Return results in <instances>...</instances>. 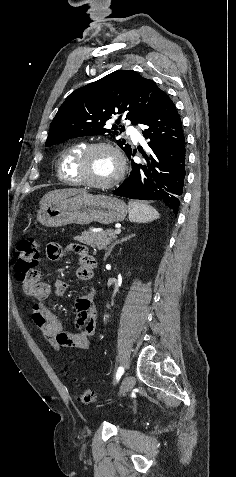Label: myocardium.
<instances>
[{"label": "myocardium", "instance_id": "myocardium-1", "mask_svg": "<svg viewBox=\"0 0 236 477\" xmlns=\"http://www.w3.org/2000/svg\"><path fill=\"white\" fill-rule=\"evenodd\" d=\"M96 149H108L111 152H113L114 155L116 156V159L118 162V170L116 175L109 181L94 182L89 180L85 176L84 170H85L87 158L90 155V153ZM125 168H126V162L121 151L113 144L108 142H102V141L86 145L83 148V150L80 152V154L78 155L76 163H75V172L81 184H85L87 186L97 188V189H107L116 185L123 178L125 173Z\"/></svg>", "mask_w": 236, "mask_h": 477}]
</instances>
